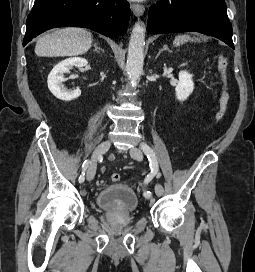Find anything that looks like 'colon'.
<instances>
[{"label":"colon","instance_id":"colon-1","mask_svg":"<svg viewBox=\"0 0 255 272\" xmlns=\"http://www.w3.org/2000/svg\"><path fill=\"white\" fill-rule=\"evenodd\" d=\"M217 67H218V72H219V77H220V82H221V88H220V94L218 98V109H217V120H221L227 110V105L229 101V95H228V90H227V69H228V60L224 55H220L218 57L217 61ZM111 180L113 182H117L120 180V174L118 173H113L111 175Z\"/></svg>","mask_w":255,"mask_h":272}]
</instances>
